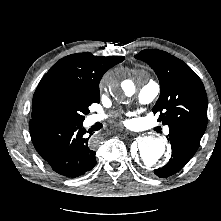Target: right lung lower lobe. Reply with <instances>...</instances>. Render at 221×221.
Instances as JSON below:
<instances>
[{
  "label": "right lung lower lobe",
  "mask_w": 221,
  "mask_h": 221,
  "mask_svg": "<svg viewBox=\"0 0 221 221\" xmlns=\"http://www.w3.org/2000/svg\"><path fill=\"white\" fill-rule=\"evenodd\" d=\"M82 122L68 119L30 120L36 151L58 174L77 177L96 165L93 142Z\"/></svg>",
  "instance_id": "98d812e1"
}]
</instances>
